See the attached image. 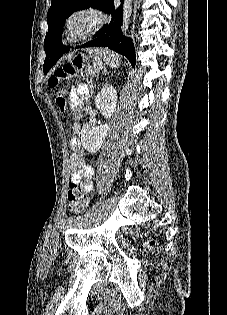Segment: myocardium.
Listing matches in <instances>:
<instances>
[{"label": "myocardium", "instance_id": "myocardium-1", "mask_svg": "<svg viewBox=\"0 0 227 315\" xmlns=\"http://www.w3.org/2000/svg\"><path fill=\"white\" fill-rule=\"evenodd\" d=\"M85 23H80L81 20ZM102 14L92 7L72 10L64 19L60 40L66 45L81 42L94 35L103 24Z\"/></svg>", "mask_w": 227, "mask_h": 315}]
</instances>
